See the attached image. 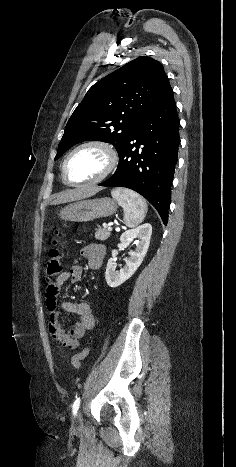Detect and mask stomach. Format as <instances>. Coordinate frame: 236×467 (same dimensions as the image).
<instances>
[{"label": "stomach", "mask_w": 236, "mask_h": 467, "mask_svg": "<svg viewBox=\"0 0 236 467\" xmlns=\"http://www.w3.org/2000/svg\"><path fill=\"white\" fill-rule=\"evenodd\" d=\"M117 211V204L110 198L81 200L67 205L60 210L62 220L73 222H88L97 218L107 217Z\"/></svg>", "instance_id": "1"}]
</instances>
